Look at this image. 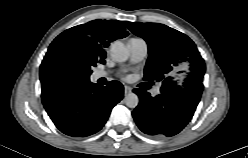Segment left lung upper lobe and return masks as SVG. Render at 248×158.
Listing matches in <instances>:
<instances>
[{"label": "left lung upper lobe", "mask_w": 248, "mask_h": 158, "mask_svg": "<svg viewBox=\"0 0 248 158\" xmlns=\"http://www.w3.org/2000/svg\"><path fill=\"white\" fill-rule=\"evenodd\" d=\"M125 23L148 44L144 80L162 81L161 92L185 90L202 93L205 63L188 36L163 24Z\"/></svg>", "instance_id": "left-lung-upper-lobe-1"}]
</instances>
